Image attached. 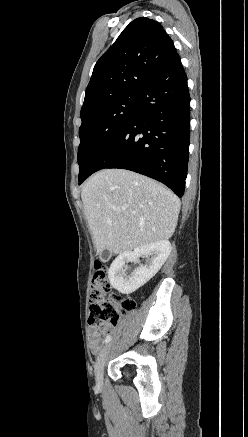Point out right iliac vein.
Masks as SVG:
<instances>
[{
  "mask_svg": "<svg viewBox=\"0 0 248 437\" xmlns=\"http://www.w3.org/2000/svg\"><path fill=\"white\" fill-rule=\"evenodd\" d=\"M110 348H111V343L105 345L103 349L100 351L96 360L94 373H95L96 384L98 386H101L103 382L105 360L110 351Z\"/></svg>",
  "mask_w": 248,
  "mask_h": 437,
  "instance_id": "63e3f726",
  "label": "right iliac vein"
}]
</instances>
